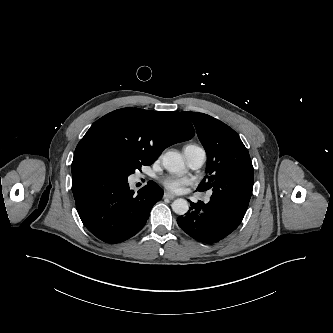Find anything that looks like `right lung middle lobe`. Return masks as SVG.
<instances>
[{
  "label": "right lung middle lobe",
  "mask_w": 333,
  "mask_h": 333,
  "mask_svg": "<svg viewBox=\"0 0 333 333\" xmlns=\"http://www.w3.org/2000/svg\"><path fill=\"white\" fill-rule=\"evenodd\" d=\"M142 165H150V163H126L113 157L94 155L86 160L84 166L111 178L127 179L130 174L134 173L136 169H140Z\"/></svg>",
  "instance_id": "1"
}]
</instances>
